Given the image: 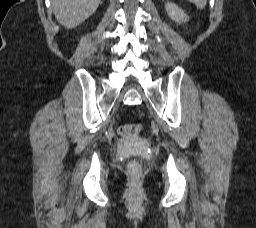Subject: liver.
<instances>
[{"label":"liver","mask_w":256,"mask_h":228,"mask_svg":"<svg viewBox=\"0 0 256 228\" xmlns=\"http://www.w3.org/2000/svg\"><path fill=\"white\" fill-rule=\"evenodd\" d=\"M101 0H52L56 19L67 29L77 27L98 8Z\"/></svg>","instance_id":"6515ba94"}]
</instances>
